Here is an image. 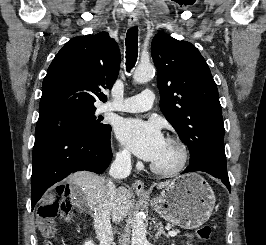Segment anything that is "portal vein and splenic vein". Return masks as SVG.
I'll return each instance as SVG.
<instances>
[{
    "mask_svg": "<svg viewBox=\"0 0 266 245\" xmlns=\"http://www.w3.org/2000/svg\"><path fill=\"white\" fill-rule=\"evenodd\" d=\"M176 235H178L176 231H168V237H176Z\"/></svg>",
    "mask_w": 266,
    "mask_h": 245,
    "instance_id": "portal-vein-and-splenic-vein-1",
    "label": "portal vein and splenic vein"
}]
</instances>
